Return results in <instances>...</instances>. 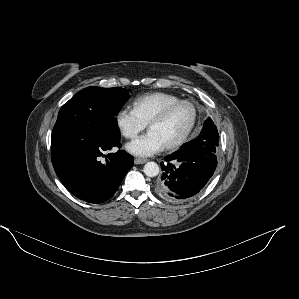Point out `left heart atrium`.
I'll use <instances>...</instances> for the list:
<instances>
[{
	"mask_svg": "<svg viewBox=\"0 0 299 299\" xmlns=\"http://www.w3.org/2000/svg\"><path fill=\"white\" fill-rule=\"evenodd\" d=\"M164 144L152 131L127 144V150L136 156H150L162 150Z\"/></svg>",
	"mask_w": 299,
	"mask_h": 299,
	"instance_id": "obj_1",
	"label": "left heart atrium"
}]
</instances>
